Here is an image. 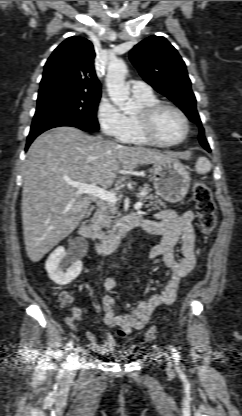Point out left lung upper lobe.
I'll return each instance as SVG.
<instances>
[{
  "label": "left lung upper lobe",
  "mask_w": 242,
  "mask_h": 416,
  "mask_svg": "<svg viewBox=\"0 0 242 416\" xmlns=\"http://www.w3.org/2000/svg\"><path fill=\"white\" fill-rule=\"evenodd\" d=\"M129 57L148 84L172 100L199 126L200 143L206 141L186 65L177 50L164 37L151 36L137 44Z\"/></svg>",
  "instance_id": "1"
}]
</instances>
